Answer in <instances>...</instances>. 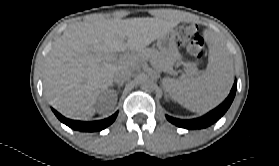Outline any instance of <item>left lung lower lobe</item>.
Wrapping results in <instances>:
<instances>
[{"label": "left lung lower lobe", "instance_id": "0a47b994", "mask_svg": "<svg viewBox=\"0 0 279 166\" xmlns=\"http://www.w3.org/2000/svg\"><path fill=\"white\" fill-rule=\"evenodd\" d=\"M236 89H237V82L235 81L231 92L229 96L226 98V100L219 105L217 108L214 110L210 111L208 114H206L203 117L197 118V119H192V120H181L177 118H173L170 116H166V118L173 124H175L178 127L181 128H186V129H202L206 128L216 121H218L223 114L228 110L230 107L235 94H236Z\"/></svg>", "mask_w": 279, "mask_h": 166}]
</instances>
